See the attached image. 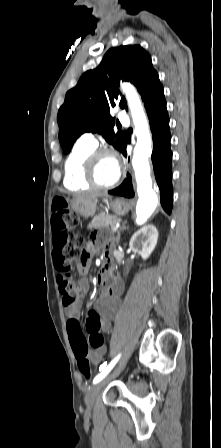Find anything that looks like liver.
Here are the masks:
<instances>
[{
	"instance_id": "6515ba94",
	"label": "liver",
	"mask_w": 221,
	"mask_h": 448,
	"mask_svg": "<svg viewBox=\"0 0 221 448\" xmlns=\"http://www.w3.org/2000/svg\"><path fill=\"white\" fill-rule=\"evenodd\" d=\"M107 193H89L84 195H79L75 198L74 204H86L92 201H97L99 197H106Z\"/></svg>"
}]
</instances>
